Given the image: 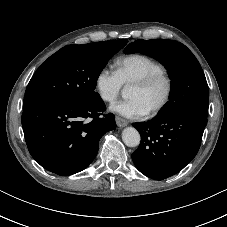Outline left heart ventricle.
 <instances>
[{
  "label": "left heart ventricle",
  "instance_id": "b2bd125f",
  "mask_svg": "<svg viewBox=\"0 0 227 227\" xmlns=\"http://www.w3.org/2000/svg\"><path fill=\"white\" fill-rule=\"evenodd\" d=\"M165 91V82L158 81L147 88L130 86L128 90V97L138 99L148 112L155 108L162 101Z\"/></svg>",
  "mask_w": 227,
  "mask_h": 227
}]
</instances>
